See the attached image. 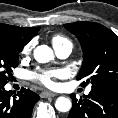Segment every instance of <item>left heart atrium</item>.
Here are the masks:
<instances>
[{
    "label": "left heart atrium",
    "mask_w": 118,
    "mask_h": 118,
    "mask_svg": "<svg viewBox=\"0 0 118 118\" xmlns=\"http://www.w3.org/2000/svg\"><path fill=\"white\" fill-rule=\"evenodd\" d=\"M63 76L60 69L37 70L29 74L30 79L48 88L56 86L55 80Z\"/></svg>",
    "instance_id": "1"
}]
</instances>
